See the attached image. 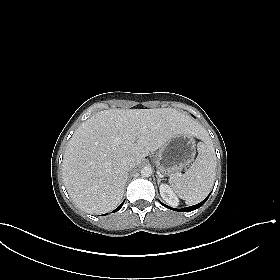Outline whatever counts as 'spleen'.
Wrapping results in <instances>:
<instances>
[{
    "mask_svg": "<svg viewBox=\"0 0 280 280\" xmlns=\"http://www.w3.org/2000/svg\"><path fill=\"white\" fill-rule=\"evenodd\" d=\"M197 150L191 167L184 174H172L169 178L173 190L188 205L199 203L208 195L216 175V162L208 144L198 143Z\"/></svg>",
    "mask_w": 280,
    "mask_h": 280,
    "instance_id": "obj_1",
    "label": "spleen"
}]
</instances>
